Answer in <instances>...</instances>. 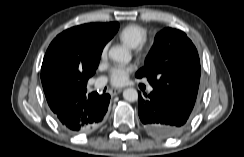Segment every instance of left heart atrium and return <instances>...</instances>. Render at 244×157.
I'll use <instances>...</instances> for the list:
<instances>
[{
    "mask_svg": "<svg viewBox=\"0 0 244 157\" xmlns=\"http://www.w3.org/2000/svg\"><path fill=\"white\" fill-rule=\"evenodd\" d=\"M133 70V65H117L115 66L110 75V80L114 86H122L127 80L130 72Z\"/></svg>",
    "mask_w": 244,
    "mask_h": 157,
    "instance_id": "39dd6f15",
    "label": "left heart atrium"
}]
</instances>
